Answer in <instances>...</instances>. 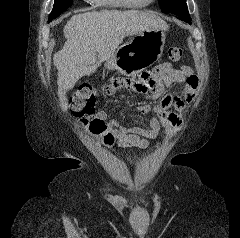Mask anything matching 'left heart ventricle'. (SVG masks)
<instances>
[{
    "mask_svg": "<svg viewBox=\"0 0 240 238\" xmlns=\"http://www.w3.org/2000/svg\"><path fill=\"white\" fill-rule=\"evenodd\" d=\"M131 1H141V2H145V1H148V0H131Z\"/></svg>",
    "mask_w": 240,
    "mask_h": 238,
    "instance_id": "b2bd125f",
    "label": "left heart ventricle"
}]
</instances>
